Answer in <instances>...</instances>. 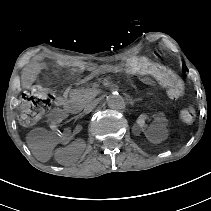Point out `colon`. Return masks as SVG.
Segmentation results:
<instances>
[{
    "mask_svg": "<svg viewBox=\"0 0 211 211\" xmlns=\"http://www.w3.org/2000/svg\"><path fill=\"white\" fill-rule=\"evenodd\" d=\"M121 67L132 75L153 76L167 87L172 96L183 94L180 80L166 67L159 65L146 57H131L125 60ZM54 94L40 85L32 86L21 98L19 120L23 126H32L40 121L48 112ZM182 121L191 124L195 120V111L183 109L180 113Z\"/></svg>",
    "mask_w": 211,
    "mask_h": 211,
    "instance_id": "1",
    "label": "colon"
}]
</instances>
